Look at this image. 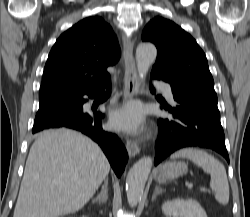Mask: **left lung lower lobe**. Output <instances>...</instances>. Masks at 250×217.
<instances>
[{
    "mask_svg": "<svg viewBox=\"0 0 250 217\" xmlns=\"http://www.w3.org/2000/svg\"><path fill=\"white\" fill-rule=\"evenodd\" d=\"M151 77L162 80L159 77ZM150 89L155 92L152 86ZM172 92L176 105H163L172 116L159 118L157 121L158 141L154 164H159L173 152L186 147L215 150L229 163L216 93L179 87H172Z\"/></svg>",
    "mask_w": 250,
    "mask_h": 217,
    "instance_id": "0a47b994",
    "label": "left lung lower lobe"
}]
</instances>
